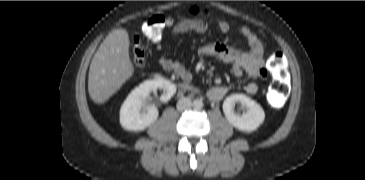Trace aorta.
I'll list each match as a JSON object with an SVG mask.
<instances>
[{"label": "aorta", "mask_w": 365, "mask_h": 180, "mask_svg": "<svg viewBox=\"0 0 365 180\" xmlns=\"http://www.w3.org/2000/svg\"><path fill=\"white\" fill-rule=\"evenodd\" d=\"M192 106L194 109L200 110L203 108V102H202V100H199V99L194 100Z\"/></svg>", "instance_id": "1"}]
</instances>
